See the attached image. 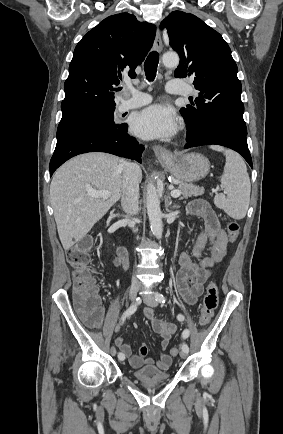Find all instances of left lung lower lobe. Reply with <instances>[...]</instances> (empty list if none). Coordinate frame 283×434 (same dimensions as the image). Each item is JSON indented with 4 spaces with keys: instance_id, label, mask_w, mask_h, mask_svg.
Returning a JSON list of instances; mask_svg holds the SVG:
<instances>
[{
    "instance_id": "1",
    "label": "left lung lower lobe",
    "mask_w": 283,
    "mask_h": 434,
    "mask_svg": "<svg viewBox=\"0 0 283 434\" xmlns=\"http://www.w3.org/2000/svg\"><path fill=\"white\" fill-rule=\"evenodd\" d=\"M186 148L201 145H220L238 152L253 168L247 136L230 129H215L195 138H186Z\"/></svg>"
}]
</instances>
